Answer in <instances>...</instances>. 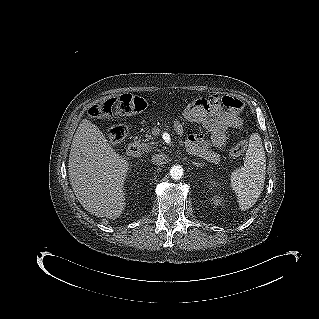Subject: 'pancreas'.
<instances>
[{"label": "pancreas", "mask_w": 319, "mask_h": 319, "mask_svg": "<svg viewBox=\"0 0 319 319\" xmlns=\"http://www.w3.org/2000/svg\"><path fill=\"white\" fill-rule=\"evenodd\" d=\"M138 142H140L142 151L146 153L153 151L158 146V143L153 140V137L151 135L148 134L145 136L144 139H139Z\"/></svg>", "instance_id": "pancreas-1"}]
</instances>
